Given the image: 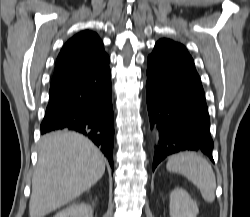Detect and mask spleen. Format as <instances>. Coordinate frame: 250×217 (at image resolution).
Listing matches in <instances>:
<instances>
[{
  "label": "spleen",
  "instance_id": "spleen-1",
  "mask_svg": "<svg viewBox=\"0 0 250 217\" xmlns=\"http://www.w3.org/2000/svg\"><path fill=\"white\" fill-rule=\"evenodd\" d=\"M169 171L180 173L201 192L206 202L215 200L216 178L210 163L195 152H181L170 156L166 164Z\"/></svg>",
  "mask_w": 250,
  "mask_h": 217
}]
</instances>
